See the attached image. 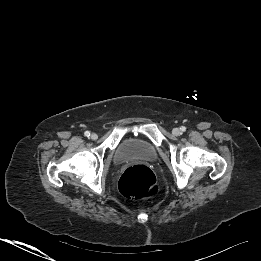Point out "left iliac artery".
I'll return each instance as SVG.
<instances>
[{"label":"left iliac artery","instance_id":"obj_1","mask_svg":"<svg viewBox=\"0 0 261 261\" xmlns=\"http://www.w3.org/2000/svg\"><path fill=\"white\" fill-rule=\"evenodd\" d=\"M180 130H181L182 132H185V131H186V127H185V126H182V127L180 128Z\"/></svg>","mask_w":261,"mask_h":261}]
</instances>
